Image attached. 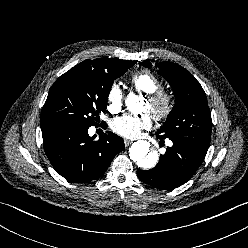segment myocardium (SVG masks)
Segmentation results:
<instances>
[{
    "mask_svg": "<svg viewBox=\"0 0 248 248\" xmlns=\"http://www.w3.org/2000/svg\"><path fill=\"white\" fill-rule=\"evenodd\" d=\"M147 101L151 106V114L156 121L165 120L174 108L173 96L163 89L147 95Z\"/></svg>",
    "mask_w": 248,
    "mask_h": 248,
    "instance_id": "f54148a6",
    "label": "myocardium"
}]
</instances>
